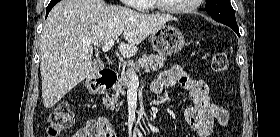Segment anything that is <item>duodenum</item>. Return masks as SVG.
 I'll return each mask as SVG.
<instances>
[{
    "label": "duodenum",
    "instance_id": "duodenum-1",
    "mask_svg": "<svg viewBox=\"0 0 280 137\" xmlns=\"http://www.w3.org/2000/svg\"><path fill=\"white\" fill-rule=\"evenodd\" d=\"M118 74L116 71L109 70L102 74L97 83V92L109 90L117 84Z\"/></svg>",
    "mask_w": 280,
    "mask_h": 137
}]
</instances>
